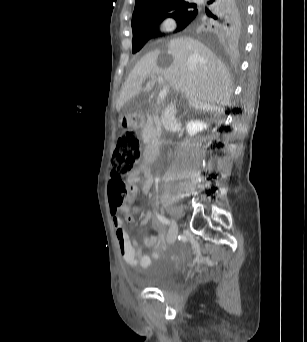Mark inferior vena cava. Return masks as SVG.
Wrapping results in <instances>:
<instances>
[{
    "mask_svg": "<svg viewBox=\"0 0 307 342\" xmlns=\"http://www.w3.org/2000/svg\"><path fill=\"white\" fill-rule=\"evenodd\" d=\"M161 122L163 128L165 130H170V128H174L176 126V118H175V112H174V106L173 104H169L167 108H165V112H163L161 116Z\"/></svg>",
    "mask_w": 307,
    "mask_h": 342,
    "instance_id": "obj_1",
    "label": "inferior vena cava"
}]
</instances>
